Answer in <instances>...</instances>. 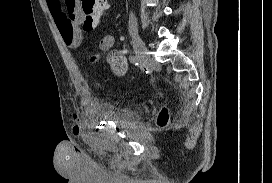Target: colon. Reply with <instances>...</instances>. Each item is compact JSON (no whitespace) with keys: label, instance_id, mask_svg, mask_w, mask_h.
I'll return each instance as SVG.
<instances>
[{"label":"colon","instance_id":"obj_1","mask_svg":"<svg viewBox=\"0 0 272 183\" xmlns=\"http://www.w3.org/2000/svg\"><path fill=\"white\" fill-rule=\"evenodd\" d=\"M106 8L107 0H69V19H73L75 13H78L81 19V26L85 31H90L102 19ZM167 122V111L162 110L158 116L157 123L159 126H165Z\"/></svg>","mask_w":272,"mask_h":183}]
</instances>
